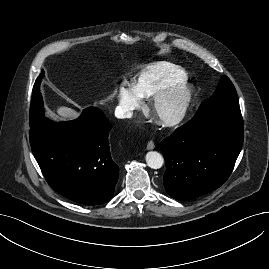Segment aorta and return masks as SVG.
Listing matches in <instances>:
<instances>
[{"label": "aorta", "instance_id": "762f6f07", "mask_svg": "<svg viewBox=\"0 0 269 269\" xmlns=\"http://www.w3.org/2000/svg\"><path fill=\"white\" fill-rule=\"evenodd\" d=\"M146 163L152 169H159L162 167L164 159L162 155L156 151H150L146 154Z\"/></svg>", "mask_w": 269, "mask_h": 269}]
</instances>
